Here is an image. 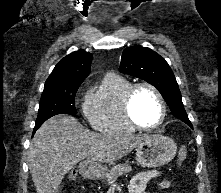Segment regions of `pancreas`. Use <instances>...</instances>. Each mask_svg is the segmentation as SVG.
I'll list each match as a JSON object with an SVG mask.
<instances>
[{
  "label": "pancreas",
  "mask_w": 221,
  "mask_h": 193,
  "mask_svg": "<svg viewBox=\"0 0 221 193\" xmlns=\"http://www.w3.org/2000/svg\"><path fill=\"white\" fill-rule=\"evenodd\" d=\"M132 170V167L125 163V164H118L113 166L111 170H109L103 177L107 180L109 184L116 181L119 176H122L125 173H128Z\"/></svg>",
  "instance_id": "obj_1"
}]
</instances>
